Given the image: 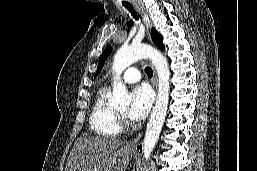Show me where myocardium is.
<instances>
[{
	"instance_id": "f54148a6",
	"label": "myocardium",
	"mask_w": 257,
	"mask_h": 171,
	"mask_svg": "<svg viewBox=\"0 0 257 171\" xmlns=\"http://www.w3.org/2000/svg\"><path fill=\"white\" fill-rule=\"evenodd\" d=\"M118 124L121 129H127L132 126L131 122L128 120L126 115L121 114L120 112L116 111Z\"/></svg>"
}]
</instances>
